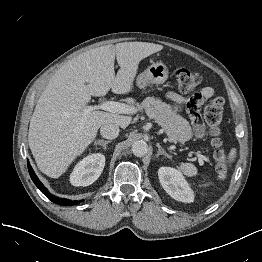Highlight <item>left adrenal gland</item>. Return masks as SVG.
Here are the masks:
<instances>
[{"instance_id":"a2214340","label":"left adrenal gland","mask_w":262,"mask_h":262,"mask_svg":"<svg viewBox=\"0 0 262 262\" xmlns=\"http://www.w3.org/2000/svg\"><path fill=\"white\" fill-rule=\"evenodd\" d=\"M156 146L158 147V152L156 154V157H159L160 155H164L167 158H171V156L165 152V150L160 146L159 143H157Z\"/></svg>"}]
</instances>
